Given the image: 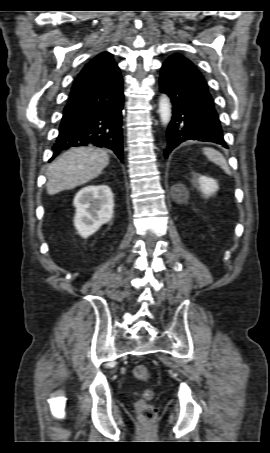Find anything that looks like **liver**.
I'll return each instance as SVG.
<instances>
[{
    "instance_id": "liver-1",
    "label": "liver",
    "mask_w": 270,
    "mask_h": 453,
    "mask_svg": "<svg viewBox=\"0 0 270 453\" xmlns=\"http://www.w3.org/2000/svg\"><path fill=\"white\" fill-rule=\"evenodd\" d=\"M109 163L108 154L99 148H71L52 162L47 169L46 190L55 195L82 185L101 174Z\"/></svg>"
}]
</instances>
